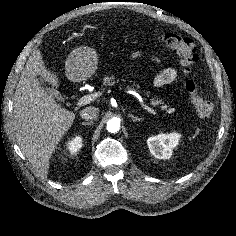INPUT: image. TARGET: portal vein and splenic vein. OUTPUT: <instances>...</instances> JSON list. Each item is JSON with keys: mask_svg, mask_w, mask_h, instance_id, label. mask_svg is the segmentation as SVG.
<instances>
[{"mask_svg": "<svg viewBox=\"0 0 236 236\" xmlns=\"http://www.w3.org/2000/svg\"><path fill=\"white\" fill-rule=\"evenodd\" d=\"M102 91H98V92H95V93H92V94H87L83 97H81L78 102H77V106H83V105H86L88 103H90L91 101L95 100L96 98H98L99 96L102 95ZM142 107L147 110L149 113L153 114V115H157V112L154 111L152 108H150L149 106L141 103Z\"/></svg>", "mask_w": 236, "mask_h": 236, "instance_id": "portal-vein-and-splenic-vein-1", "label": "portal vein and splenic vein"}]
</instances>
